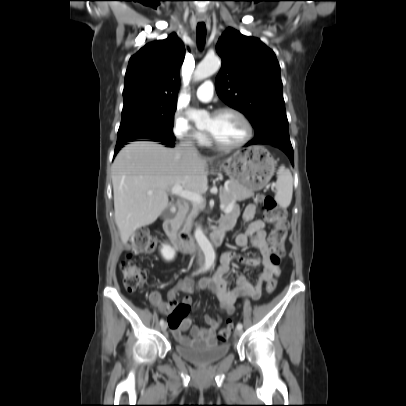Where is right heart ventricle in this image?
<instances>
[{"instance_id":"1","label":"right heart ventricle","mask_w":406,"mask_h":406,"mask_svg":"<svg viewBox=\"0 0 406 406\" xmlns=\"http://www.w3.org/2000/svg\"><path fill=\"white\" fill-rule=\"evenodd\" d=\"M203 144H208V141H207V139H205V141L203 142Z\"/></svg>"}]
</instances>
